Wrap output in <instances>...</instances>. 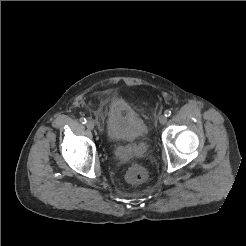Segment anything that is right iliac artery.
I'll list each match as a JSON object with an SVG mask.
<instances>
[{"label":"right iliac artery","mask_w":246,"mask_h":246,"mask_svg":"<svg viewBox=\"0 0 246 246\" xmlns=\"http://www.w3.org/2000/svg\"><path fill=\"white\" fill-rule=\"evenodd\" d=\"M80 122L82 123V124H86V122H87V120H86V118H80Z\"/></svg>","instance_id":"obj_1"}]
</instances>
